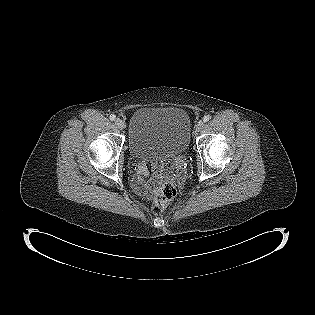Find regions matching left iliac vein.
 Listing matches in <instances>:
<instances>
[{"label": "left iliac vein", "instance_id": "4c4485c4", "mask_svg": "<svg viewBox=\"0 0 315 315\" xmlns=\"http://www.w3.org/2000/svg\"><path fill=\"white\" fill-rule=\"evenodd\" d=\"M203 127H204V122L201 120V121L197 122L195 129H196V131L199 132L203 129Z\"/></svg>", "mask_w": 315, "mask_h": 315}]
</instances>
